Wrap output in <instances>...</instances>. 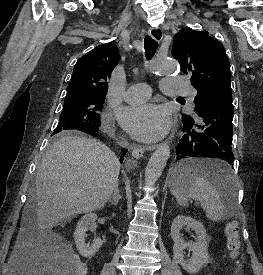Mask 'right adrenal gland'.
<instances>
[{"instance_id":"2a0ac1e0","label":"right adrenal gland","mask_w":263,"mask_h":275,"mask_svg":"<svg viewBox=\"0 0 263 275\" xmlns=\"http://www.w3.org/2000/svg\"><path fill=\"white\" fill-rule=\"evenodd\" d=\"M121 199L120 190H119V184L115 186L112 198L109 200V202L113 205H116L119 200Z\"/></svg>"}]
</instances>
